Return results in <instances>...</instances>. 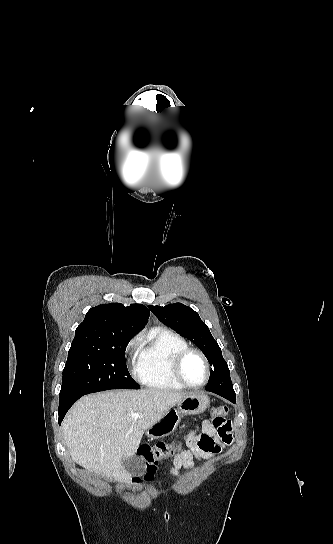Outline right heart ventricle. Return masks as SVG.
Instances as JSON below:
<instances>
[{
	"instance_id": "right-heart-ventricle-1",
	"label": "right heart ventricle",
	"mask_w": 333,
	"mask_h": 544,
	"mask_svg": "<svg viewBox=\"0 0 333 544\" xmlns=\"http://www.w3.org/2000/svg\"><path fill=\"white\" fill-rule=\"evenodd\" d=\"M187 347L182 336L166 329H153L141 336L135 364L138 381L152 389H183L172 375L171 364L175 354Z\"/></svg>"
}]
</instances>
